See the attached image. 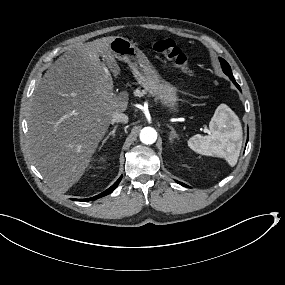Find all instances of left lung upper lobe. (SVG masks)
<instances>
[{
	"instance_id": "1",
	"label": "left lung upper lobe",
	"mask_w": 285,
	"mask_h": 285,
	"mask_svg": "<svg viewBox=\"0 0 285 285\" xmlns=\"http://www.w3.org/2000/svg\"><path fill=\"white\" fill-rule=\"evenodd\" d=\"M220 62H221L224 73L228 75L230 79L233 78L232 71H231L229 64L222 58H220Z\"/></svg>"
}]
</instances>
